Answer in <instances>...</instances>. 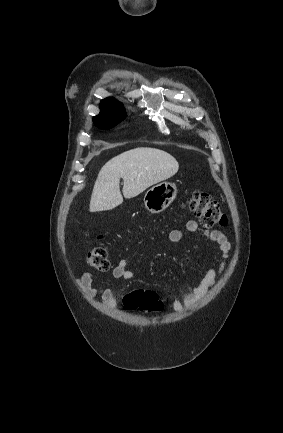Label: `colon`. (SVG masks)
<instances>
[{
  "label": "colon",
  "mask_w": 283,
  "mask_h": 433,
  "mask_svg": "<svg viewBox=\"0 0 283 433\" xmlns=\"http://www.w3.org/2000/svg\"><path fill=\"white\" fill-rule=\"evenodd\" d=\"M187 206L205 227L225 226L228 223V218L218 202L213 200L206 192L199 190L190 192L187 198ZM86 264L101 272L109 270L111 262L106 247L98 245L88 251ZM162 307L163 302L153 291L136 290L124 297V308L126 310L157 312Z\"/></svg>",
  "instance_id": "colon-1"
}]
</instances>
